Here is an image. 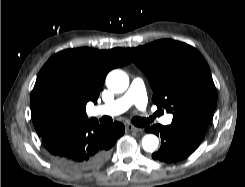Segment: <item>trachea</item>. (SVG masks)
Here are the masks:
<instances>
[{"label":"trachea","mask_w":245,"mask_h":187,"mask_svg":"<svg viewBox=\"0 0 245 187\" xmlns=\"http://www.w3.org/2000/svg\"><path fill=\"white\" fill-rule=\"evenodd\" d=\"M131 121L137 127H145V126H148L152 122V119L151 118L145 119V118H141V117H133Z\"/></svg>","instance_id":"obj_1"}]
</instances>
